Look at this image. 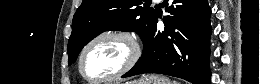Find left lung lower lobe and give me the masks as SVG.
<instances>
[{"instance_id": "left-lung-lower-lobe-1", "label": "left lung lower lobe", "mask_w": 260, "mask_h": 84, "mask_svg": "<svg viewBox=\"0 0 260 84\" xmlns=\"http://www.w3.org/2000/svg\"><path fill=\"white\" fill-rule=\"evenodd\" d=\"M168 0L164 6H168ZM166 8L165 30H157L155 16L144 43L142 57L122 77L160 73L193 84H209L210 15L207 0H174Z\"/></svg>"}]
</instances>
